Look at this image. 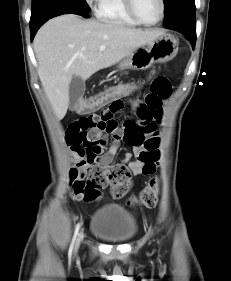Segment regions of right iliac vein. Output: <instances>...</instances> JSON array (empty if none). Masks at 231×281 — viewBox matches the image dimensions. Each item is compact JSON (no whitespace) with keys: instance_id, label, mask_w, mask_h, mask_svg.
I'll return each mask as SVG.
<instances>
[{"instance_id":"1","label":"right iliac vein","mask_w":231,"mask_h":281,"mask_svg":"<svg viewBox=\"0 0 231 281\" xmlns=\"http://www.w3.org/2000/svg\"><path fill=\"white\" fill-rule=\"evenodd\" d=\"M82 238H83V234L82 232L78 235V238H77V241H76V245H75V252L78 251V248L80 246V243L82 241Z\"/></svg>"}]
</instances>
